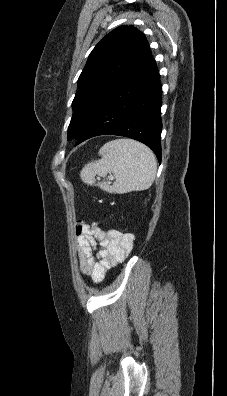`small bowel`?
<instances>
[{
    "label": "small bowel",
    "instance_id": "c3829d8e",
    "mask_svg": "<svg viewBox=\"0 0 227 396\" xmlns=\"http://www.w3.org/2000/svg\"><path fill=\"white\" fill-rule=\"evenodd\" d=\"M75 232L80 270L96 283H100L111 268L128 257L135 241L131 233L105 230L96 222H78ZM97 245L100 250L95 257Z\"/></svg>",
    "mask_w": 227,
    "mask_h": 396
}]
</instances>
